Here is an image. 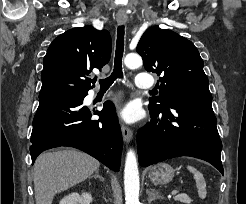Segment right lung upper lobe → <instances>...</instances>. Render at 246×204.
<instances>
[{
    "label": "right lung upper lobe",
    "instance_id": "right-lung-upper-lobe-1",
    "mask_svg": "<svg viewBox=\"0 0 246 204\" xmlns=\"http://www.w3.org/2000/svg\"><path fill=\"white\" fill-rule=\"evenodd\" d=\"M111 50V37L106 30L84 26L61 34L44 57L39 98L62 92H87L95 83L87 77L88 73L107 64Z\"/></svg>",
    "mask_w": 246,
    "mask_h": 204
}]
</instances>
